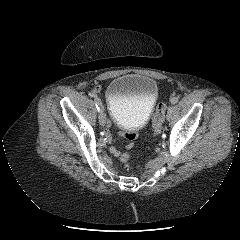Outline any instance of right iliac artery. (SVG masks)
I'll return each mask as SVG.
<instances>
[{"label": "right iliac artery", "instance_id": "82829eb1", "mask_svg": "<svg viewBox=\"0 0 240 240\" xmlns=\"http://www.w3.org/2000/svg\"><path fill=\"white\" fill-rule=\"evenodd\" d=\"M95 104H96V108H97L98 112H100V110L102 109L101 108L102 103H101V100L98 97L95 98Z\"/></svg>", "mask_w": 240, "mask_h": 240}]
</instances>
